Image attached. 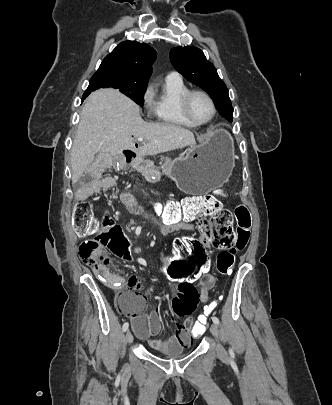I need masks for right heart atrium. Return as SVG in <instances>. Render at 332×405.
<instances>
[{
    "label": "right heart atrium",
    "mask_w": 332,
    "mask_h": 405,
    "mask_svg": "<svg viewBox=\"0 0 332 405\" xmlns=\"http://www.w3.org/2000/svg\"><path fill=\"white\" fill-rule=\"evenodd\" d=\"M143 102L148 109H151L152 106V91L150 87H147L143 93Z\"/></svg>",
    "instance_id": "obj_1"
}]
</instances>
